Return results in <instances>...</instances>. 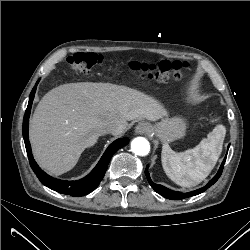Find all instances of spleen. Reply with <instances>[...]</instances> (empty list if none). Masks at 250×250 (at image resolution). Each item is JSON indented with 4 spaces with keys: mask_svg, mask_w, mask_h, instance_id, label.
<instances>
[{
    "mask_svg": "<svg viewBox=\"0 0 250 250\" xmlns=\"http://www.w3.org/2000/svg\"><path fill=\"white\" fill-rule=\"evenodd\" d=\"M225 127L218 125L193 149L177 153L168 144L162 147V165L166 175L182 187H192L210 174L221 152Z\"/></svg>",
    "mask_w": 250,
    "mask_h": 250,
    "instance_id": "1",
    "label": "spleen"
}]
</instances>
